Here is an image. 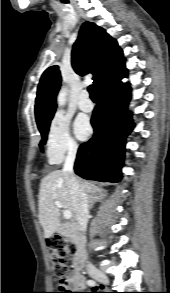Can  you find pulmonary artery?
<instances>
[{
	"mask_svg": "<svg viewBox=\"0 0 170 293\" xmlns=\"http://www.w3.org/2000/svg\"><path fill=\"white\" fill-rule=\"evenodd\" d=\"M93 107L94 105L89 97V93L87 91H83L80 94L79 108L84 112H90L93 110Z\"/></svg>",
	"mask_w": 170,
	"mask_h": 293,
	"instance_id": "e3ab8cb5",
	"label": "pulmonary artery"
}]
</instances>
